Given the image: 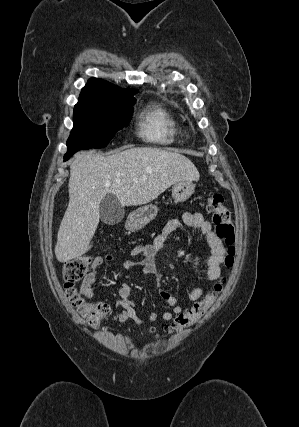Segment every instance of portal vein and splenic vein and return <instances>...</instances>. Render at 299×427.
<instances>
[{"label": "portal vein and splenic vein", "instance_id": "obj_1", "mask_svg": "<svg viewBox=\"0 0 299 427\" xmlns=\"http://www.w3.org/2000/svg\"><path fill=\"white\" fill-rule=\"evenodd\" d=\"M134 180H137V179L135 178ZM110 185H111V183H110V182H107V183H106V186H110Z\"/></svg>", "mask_w": 299, "mask_h": 427}]
</instances>
